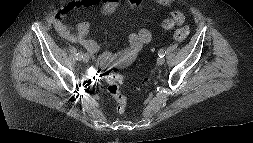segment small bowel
Segmentation results:
<instances>
[{"mask_svg":"<svg viewBox=\"0 0 253 143\" xmlns=\"http://www.w3.org/2000/svg\"><path fill=\"white\" fill-rule=\"evenodd\" d=\"M128 4L134 8H141L144 0H127ZM157 2L165 7L170 8L168 0H157ZM90 6H99L102 13L113 12L118 6V0H73L67 3L61 10H59L53 18V26L57 33L64 40L71 43H80L90 53H95L99 50L100 45L94 40L88 38L91 24L88 21L80 22L76 29L73 30L64 23V18L71 12ZM185 21L184 14L176 9L170 10V16L164 19L161 23L163 30H170L175 26L182 25ZM152 38L150 30L146 28L140 29L136 33H132L128 37L129 47L117 53H104L102 57L108 56L120 62L122 59L129 56H136L137 52L142 46L148 43ZM101 57V58H102Z\"/></svg>","mask_w":253,"mask_h":143,"instance_id":"small-bowel-1","label":"small bowel"}]
</instances>
